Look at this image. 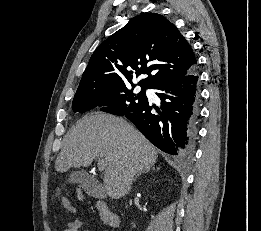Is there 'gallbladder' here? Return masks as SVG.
I'll list each match as a JSON object with an SVG mask.
<instances>
[{"label":"gallbladder","instance_id":"1","mask_svg":"<svg viewBox=\"0 0 261 231\" xmlns=\"http://www.w3.org/2000/svg\"><path fill=\"white\" fill-rule=\"evenodd\" d=\"M70 183L80 184L89 194L104 196L102 186L83 170L73 171L69 176Z\"/></svg>","mask_w":261,"mask_h":231}]
</instances>
